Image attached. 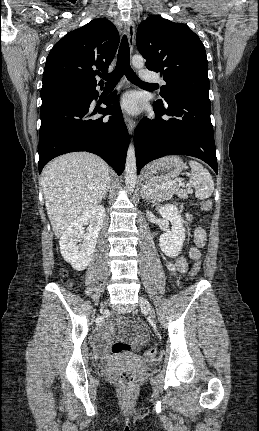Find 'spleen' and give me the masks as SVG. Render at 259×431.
I'll return each instance as SVG.
<instances>
[{
	"instance_id": "obj_1",
	"label": "spleen",
	"mask_w": 259,
	"mask_h": 431,
	"mask_svg": "<svg viewBox=\"0 0 259 431\" xmlns=\"http://www.w3.org/2000/svg\"><path fill=\"white\" fill-rule=\"evenodd\" d=\"M191 175L189 184L195 188L196 198L203 200L209 198L214 191V182L209 171L197 161L190 160Z\"/></svg>"
}]
</instances>
